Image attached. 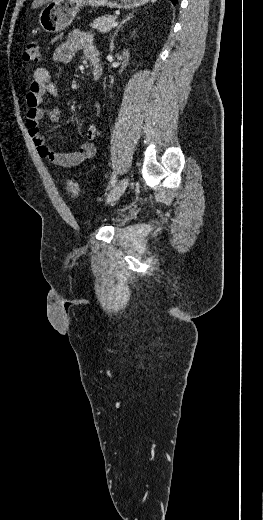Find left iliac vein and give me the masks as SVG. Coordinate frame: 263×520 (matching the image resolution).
<instances>
[{
	"label": "left iliac vein",
	"mask_w": 263,
	"mask_h": 520,
	"mask_svg": "<svg viewBox=\"0 0 263 520\" xmlns=\"http://www.w3.org/2000/svg\"><path fill=\"white\" fill-rule=\"evenodd\" d=\"M128 178L124 177L121 180H119L116 185L112 188L110 193L107 196L106 202L108 204L115 202L120 198V196L124 193L128 186Z\"/></svg>",
	"instance_id": "left-iliac-vein-1"
}]
</instances>
